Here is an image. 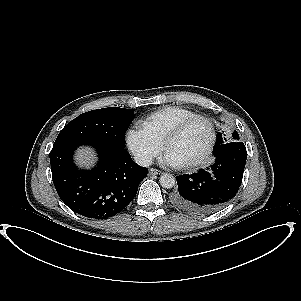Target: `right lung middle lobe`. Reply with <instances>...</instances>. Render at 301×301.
<instances>
[{
	"label": "right lung middle lobe",
	"mask_w": 301,
	"mask_h": 301,
	"mask_svg": "<svg viewBox=\"0 0 301 301\" xmlns=\"http://www.w3.org/2000/svg\"><path fill=\"white\" fill-rule=\"evenodd\" d=\"M134 110L118 107L92 110L79 115L59 133L54 144L75 140H103L124 146L125 131Z\"/></svg>",
	"instance_id": "1"
}]
</instances>
